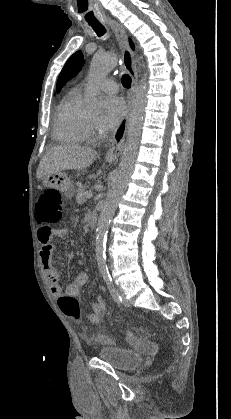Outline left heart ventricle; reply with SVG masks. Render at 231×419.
<instances>
[{
  "mask_svg": "<svg viewBox=\"0 0 231 419\" xmlns=\"http://www.w3.org/2000/svg\"><path fill=\"white\" fill-rule=\"evenodd\" d=\"M89 119H90L92 122H95V121L97 120V116H90V117H89Z\"/></svg>",
  "mask_w": 231,
  "mask_h": 419,
  "instance_id": "b2bd125f",
  "label": "left heart ventricle"
}]
</instances>
